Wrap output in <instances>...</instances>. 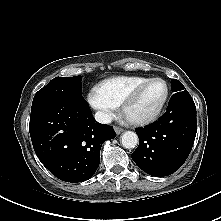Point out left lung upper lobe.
Returning <instances> with one entry per match:
<instances>
[{
    "mask_svg": "<svg viewBox=\"0 0 221 221\" xmlns=\"http://www.w3.org/2000/svg\"><path fill=\"white\" fill-rule=\"evenodd\" d=\"M171 90L175 92V94L172 95L170 101H174V100L190 95L189 92L183 86V84L177 79H172Z\"/></svg>",
    "mask_w": 221,
    "mask_h": 221,
    "instance_id": "left-lung-upper-lobe-1",
    "label": "left lung upper lobe"
}]
</instances>
